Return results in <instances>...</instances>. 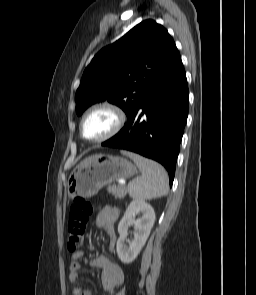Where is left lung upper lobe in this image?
<instances>
[{
	"mask_svg": "<svg viewBox=\"0 0 256 295\" xmlns=\"http://www.w3.org/2000/svg\"><path fill=\"white\" fill-rule=\"evenodd\" d=\"M181 61L167 30L145 20L104 47L85 69L76 91V113L108 100L131 117L146 94Z\"/></svg>",
	"mask_w": 256,
	"mask_h": 295,
	"instance_id": "left-lung-upper-lobe-1",
	"label": "left lung upper lobe"
}]
</instances>
